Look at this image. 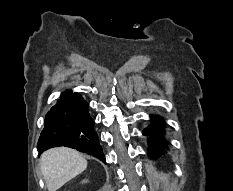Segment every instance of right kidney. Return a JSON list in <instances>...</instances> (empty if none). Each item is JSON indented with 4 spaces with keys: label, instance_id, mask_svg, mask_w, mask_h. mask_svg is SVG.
<instances>
[{
    "label": "right kidney",
    "instance_id": "right-kidney-1",
    "mask_svg": "<svg viewBox=\"0 0 233 191\" xmlns=\"http://www.w3.org/2000/svg\"><path fill=\"white\" fill-rule=\"evenodd\" d=\"M86 182H87V180H86V179L82 181V183H86Z\"/></svg>",
    "mask_w": 233,
    "mask_h": 191
}]
</instances>
